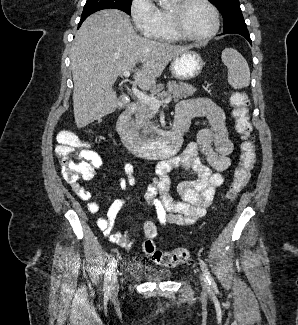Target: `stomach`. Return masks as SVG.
<instances>
[{
	"label": "stomach",
	"mask_w": 298,
	"mask_h": 325,
	"mask_svg": "<svg viewBox=\"0 0 298 325\" xmlns=\"http://www.w3.org/2000/svg\"><path fill=\"white\" fill-rule=\"evenodd\" d=\"M205 64L202 54L198 50L190 48L187 52L172 58L169 70L177 80H190V78H195L202 72Z\"/></svg>",
	"instance_id": "0dacf381"
}]
</instances>
